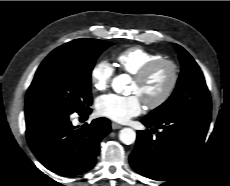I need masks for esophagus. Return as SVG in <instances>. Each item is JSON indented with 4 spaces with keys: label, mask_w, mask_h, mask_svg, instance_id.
<instances>
[{
    "label": "esophagus",
    "mask_w": 230,
    "mask_h": 186,
    "mask_svg": "<svg viewBox=\"0 0 230 186\" xmlns=\"http://www.w3.org/2000/svg\"><path fill=\"white\" fill-rule=\"evenodd\" d=\"M111 127H112L113 130H116V129L122 128V125L113 122V123L111 124Z\"/></svg>",
    "instance_id": "obj_1"
}]
</instances>
